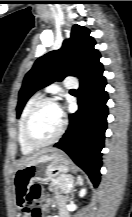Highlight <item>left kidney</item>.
I'll return each instance as SVG.
<instances>
[{
  "label": "left kidney",
  "instance_id": "obj_1",
  "mask_svg": "<svg viewBox=\"0 0 132 217\" xmlns=\"http://www.w3.org/2000/svg\"><path fill=\"white\" fill-rule=\"evenodd\" d=\"M86 194V189H81V191L79 192V196L83 197Z\"/></svg>",
  "mask_w": 132,
  "mask_h": 217
}]
</instances>
